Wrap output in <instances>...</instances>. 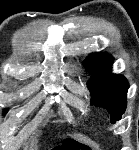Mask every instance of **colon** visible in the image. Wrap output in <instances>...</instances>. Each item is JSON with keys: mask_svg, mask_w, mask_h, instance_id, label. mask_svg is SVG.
Here are the masks:
<instances>
[{"mask_svg": "<svg viewBox=\"0 0 139 150\" xmlns=\"http://www.w3.org/2000/svg\"><path fill=\"white\" fill-rule=\"evenodd\" d=\"M52 150H88L85 147H80L73 141H65L62 145L53 148Z\"/></svg>", "mask_w": 139, "mask_h": 150, "instance_id": "1", "label": "colon"}]
</instances>
